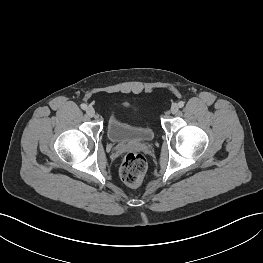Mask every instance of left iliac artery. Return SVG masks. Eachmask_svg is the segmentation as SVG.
<instances>
[{
	"instance_id": "left-iliac-artery-1",
	"label": "left iliac artery",
	"mask_w": 263,
	"mask_h": 263,
	"mask_svg": "<svg viewBox=\"0 0 263 263\" xmlns=\"http://www.w3.org/2000/svg\"><path fill=\"white\" fill-rule=\"evenodd\" d=\"M184 104H185V102L180 101V102L178 103V106H179L180 108H182V107L184 106Z\"/></svg>"
}]
</instances>
